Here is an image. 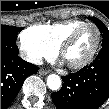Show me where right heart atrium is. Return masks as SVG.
I'll return each instance as SVG.
<instances>
[{
  "instance_id": "1",
  "label": "right heart atrium",
  "mask_w": 109,
  "mask_h": 109,
  "mask_svg": "<svg viewBox=\"0 0 109 109\" xmlns=\"http://www.w3.org/2000/svg\"><path fill=\"white\" fill-rule=\"evenodd\" d=\"M19 48L22 55L32 63H39L42 58L52 57L57 48L42 33L24 30L19 36Z\"/></svg>"
}]
</instances>
